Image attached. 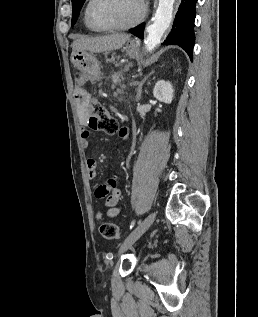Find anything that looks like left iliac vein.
Instances as JSON below:
<instances>
[{
	"label": "left iliac vein",
	"instance_id": "1",
	"mask_svg": "<svg viewBox=\"0 0 258 317\" xmlns=\"http://www.w3.org/2000/svg\"><path fill=\"white\" fill-rule=\"evenodd\" d=\"M155 213H150L147 217L133 230L130 232L128 237L125 238L124 243L120 245L119 252L127 253L128 249L133 246V241H138L139 236H142L144 232L148 230L154 223Z\"/></svg>",
	"mask_w": 258,
	"mask_h": 317
}]
</instances>
